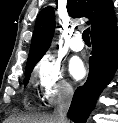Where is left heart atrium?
Here are the masks:
<instances>
[{"label": "left heart atrium", "instance_id": "obj_1", "mask_svg": "<svg viewBox=\"0 0 118 123\" xmlns=\"http://www.w3.org/2000/svg\"><path fill=\"white\" fill-rule=\"evenodd\" d=\"M69 73L70 75L79 80L85 75V68L81 60L74 58L69 63Z\"/></svg>", "mask_w": 118, "mask_h": 123}]
</instances>
